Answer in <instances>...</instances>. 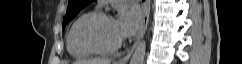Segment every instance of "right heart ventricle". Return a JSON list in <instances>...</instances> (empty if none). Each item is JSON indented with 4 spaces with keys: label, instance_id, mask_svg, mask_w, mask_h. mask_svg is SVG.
<instances>
[{
    "label": "right heart ventricle",
    "instance_id": "e07e8e85",
    "mask_svg": "<svg viewBox=\"0 0 242 64\" xmlns=\"http://www.w3.org/2000/svg\"><path fill=\"white\" fill-rule=\"evenodd\" d=\"M99 12V10H92V11H88L85 12L83 14H81L71 25L67 37H66V46H67V50L69 52V54L75 58H84L87 57L89 55H91V53L84 51L83 49H81L74 38V33H75V29L77 27V25L88 15L92 14V13H96Z\"/></svg>",
    "mask_w": 242,
    "mask_h": 64
}]
</instances>
